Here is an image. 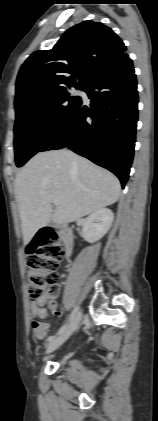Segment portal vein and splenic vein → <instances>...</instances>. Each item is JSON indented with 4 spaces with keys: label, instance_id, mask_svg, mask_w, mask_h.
<instances>
[{
    "label": "portal vein and splenic vein",
    "instance_id": "1",
    "mask_svg": "<svg viewBox=\"0 0 158 421\" xmlns=\"http://www.w3.org/2000/svg\"><path fill=\"white\" fill-rule=\"evenodd\" d=\"M53 204L56 205V206H58L59 205V200H54L53 201Z\"/></svg>",
    "mask_w": 158,
    "mask_h": 421
}]
</instances>
